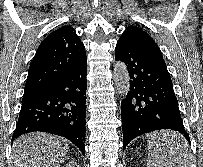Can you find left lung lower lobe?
Wrapping results in <instances>:
<instances>
[{
	"label": "left lung lower lobe",
	"instance_id": "1",
	"mask_svg": "<svg viewBox=\"0 0 203 167\" xmlns=\"http://www.w3.org/2000/svg\"><path fill=\"white\" fill-rule=\"evenodd\" d=\"M115 58L126 64L131 79L121 103L123 150L135 137L160 129L178 131L190 144L165 61L122 41Z\"/></svg>",
	"mask_w": 203,
	"mask_h": 167
}]
</instances>
